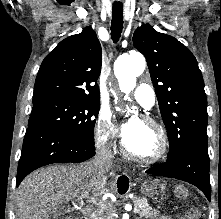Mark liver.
<instances>
[{
    "label": "liver",
    "instance_id": "6515ba94",
    "mask_svg": "<svg viewBox=\"0 0 221 219\" xmlns=\"http://www.w3.org/2000/svg\"><path fill=\"white\" fill-rule=\"evenodd\" d=\"M106 176L89 161L77 166H49L28 175L16 191V219H48L75 198L94 201L109 193ZM87 196V197H85Z\"/></svg>",
    "mask_w": 221,
    "mask_h": 219
}]
</instances>
